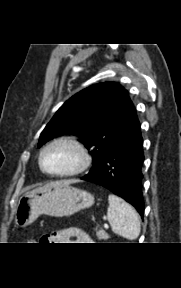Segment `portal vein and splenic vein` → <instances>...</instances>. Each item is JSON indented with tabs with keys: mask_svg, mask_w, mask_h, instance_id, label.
I'll return each mask as SVG.
<instances>
[{
	"mask_svg": "<svg viewBox=\"0 0 181 288\" xmlns=\"http://www.w3.org/2000/svg\"><path fill=\"white\" fill-rule=\"evenodd\" d=\"M104 228L108 229L109 228L108 224L105 223Z\"/></svg>",
	"mask_w": 181,
	"mask_h": 288,
	"instance_id": "portal-vein-and-splenic-vein-1",
	"label": "portal vein and splenic vein"
}]
</instances>
